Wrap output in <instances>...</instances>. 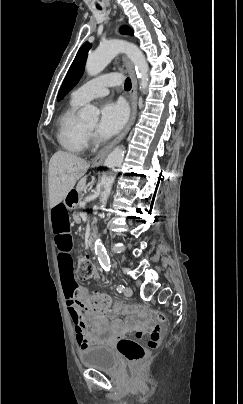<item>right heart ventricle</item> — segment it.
<instances>
[{"mask_svg":"<svg viewBox=\"0 0 243 404\" xmlns=\"http://www.w3.org/2000/svg\"><path fill=\"white\" fill-rule=\"evenodd\" d=\"M103 46L102 44L96 52ZM84 103L85 101L74 90L71 93L68 106L58 117L56 141L60 149L68 154L82 155L88 148V136L77 118V112Z\"/></svg>","mask_w":243,"mask_h":404,"instance_id":"e07e8e85","label":"right heart ventricle"}]
</instances>
